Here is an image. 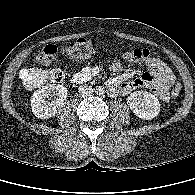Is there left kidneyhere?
<instances>
[{"label": "left kidney", "instance_id": "left-kidney-1", "mask_svg": "<svg viewBox=\"0 0 195 195\" xmlns=\"http://www.w3.org/2000/svg\"><path fill=\"white\" fill-rule=\"evenodd\" d=\"M127 104L132 112L144 120H152L160 112L158 98L147 91H135L127 97Z\"/></svg>", "mask_w": 195, "mask_h": 195}]
</instances>
